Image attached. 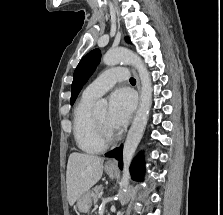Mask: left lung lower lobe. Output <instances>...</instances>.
<instances>
[{"label": "left lung lower lobe", "mask_w": 223, "mask_h": 215, "mask_svg": "<svg viewBox=\"0 0 223 215\" xmlns=\"http://www.w3.org/2000/svg\"><path fill=\"white\" fill-rule=\"evenodd\" d=\"M107 157H114L119 160V167L122 168V145L120 147L115 148L114 150L106 153ZM131 172L133 179L136 181H142V176L144 172V166H143V155L139 154L132 166H131Z\"/></svg>", "instance_id": "obj_1"}]
</instances>
